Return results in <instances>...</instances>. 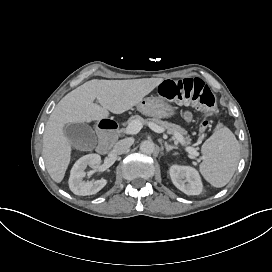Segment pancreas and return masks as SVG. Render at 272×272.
Listing matches in <instances>:
<instances>
[{
  "instance_id": "1",
  "label": "pancreas",
  "mask_w": 272,
  "mask_h": 272,
  "mask_svg": "<svg viewBox=\"0 0 272 272\" xmlns=\"http://www.w3.org/2000/svg\"><path fill=\"white\" fill-rule=\"evenodd\" d=\"M134 120L140 121L142 126H147L151 123H154L160 126L161 128L165 129L168 134H180L182 136L187 135V132L185 131V129L180 128L174 123H168L166 121H162L159 118H142L139 115H135L130 118L129 122L131 123Z\"/></svg>"
}]
</instances>
